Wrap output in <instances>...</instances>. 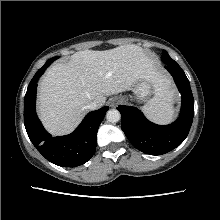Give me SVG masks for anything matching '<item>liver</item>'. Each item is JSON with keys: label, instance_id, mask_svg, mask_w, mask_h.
Segmentation results:
<instances>
[{"label": "liver", "instance_id": "obj_1", "mask_svg": "<svg viewBox=\"0 0 220 220\" xmlns=\"http://www.w3.org/2000/svg\"><path fill=\"white\" fill-rule=\"evenodd\" d=\"M153 76L152 63L137 45L105 51L74 53L68 63L51 66L39 83L38 110L45 128L53 135L72 132L91 102L100 107L106 97L130 90L139 79ZM157 91L171 96L167 81L157 79Z\"/></svg>", "mask_w": 220, "mask_h": 220}]
</instances>
